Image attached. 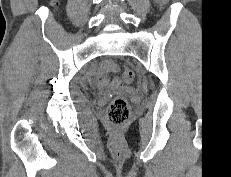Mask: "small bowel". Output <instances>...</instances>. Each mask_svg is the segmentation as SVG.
I'll return each instance as SVG.
<instances>
[{"label":"small bowel","mask_w":231,"mask_h":177,"mask_svg":"<svg viewBox=\"0 0 231 177\" xmlns=\"http://www.w3.org/2000/svg\"><path fill=\"white\" fill-rule=\"evenodd\" d=\"M118 70L116 64L111 61H106L100 68L98 77H97V85L102 91H107L110 88L119 89L121 86V82L119 78H115L112 82L108 77L109 74L115 73Z\"/></svg>","instance_id":"c3829d8e"}]
</instances>
